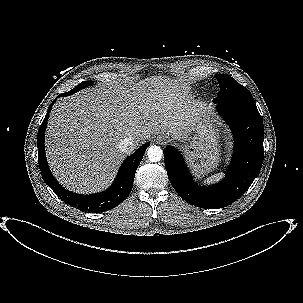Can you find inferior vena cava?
Returning <instances> with one entry per match:
<instances>
[{"label":"inferior vena cava","mask_w":303,"mask_h":303,"mask_svg":"<svg viewBox=\"0 0 303 303\" xmlns=\"http://www.w3.org/2000/svg\"><path fill=\"white\" fill-rule=\"evenodd\" d=\"M119 149L121 152L125 154L131 153L135 149L134 145V139L130 135L128 137H125L119 144Z\"/></svg>","instance_id":"602c4592"}]
</instances>
